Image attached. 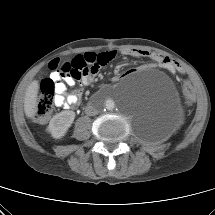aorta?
<instances>
[{"label":"aorta","mask_w":215,"mask_h":215,"mask_svg":"<svg viewBox=\"0 0 215 215\" xmlns=\"http://www.w3.org/2000/svg\"><path fill=\"white\" fill-rule=\"evenodd\" d=\"M123 86L118 87L117 91H107L99 95V108L104 111H113L118 108V102L122 100V94L120 93ZM117 92V93H116Z\"/></svg>","instance_id":"obj_1"}]
</instances>
